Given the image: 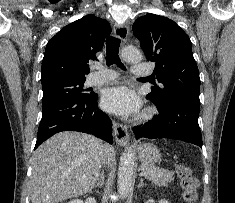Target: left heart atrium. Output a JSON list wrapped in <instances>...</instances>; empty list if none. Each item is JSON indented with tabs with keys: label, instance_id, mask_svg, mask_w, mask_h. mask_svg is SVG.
Returning <instances> with one entry per match:
<instances>
[{
	"label": "left heart atrium",
	"instance_id": "1",
	"mask_svg": "<svg viewBox=\"0 0 235 203\" xmlns=\"http://www.w3.org/2000/svg\"><path fill=\"white\" fill-rule=\"evenodd\" d=\"M104 110L120 116H130L138 113L140 100L137 95L125 86L106 89L101 98Z\"/></svg>",
	"mask_w": 235,
	"mask_h": 203
}]
</instances>
